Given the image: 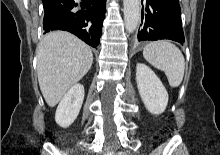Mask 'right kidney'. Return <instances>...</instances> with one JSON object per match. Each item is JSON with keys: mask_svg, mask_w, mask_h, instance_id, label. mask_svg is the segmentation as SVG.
<instances>
[{"mask_svg": "<svg viewBox=\"0 0 220 155\" xmlns=\"http://www.w3.org/2000/svg\"><path fill=\"white\" fill-rule=\"evenodd\" d=\"M84 100V87L81 84L73 85L60 101L56 114V123L69 127L77 118Z\"/></svg>", "mask_w": 220, "mask_h": 155, "instance_id": "1", "label": "right kidney"}]
</instances>
